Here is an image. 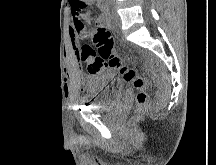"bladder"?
Listing matches in <instances>:
<instances>
[{
    "label": "bladder",
    "instance_id": "bladder-1",
    "mask_svg": "<svg viewBox=\"0 0 216 165\" xmlns=\"http://www.w3.org/2000/svg\"><path fill=\"white\" fill-rule=\"evenodd\" d=\"M120 76H114L112 72H102L97 76H93L92 81H87L90 87L89 102L93 111H109L116 97H123V92L119 89Z\"/></svg>",
    "mask_w": 216,
    "mask_h": 165
}]
</instances>
